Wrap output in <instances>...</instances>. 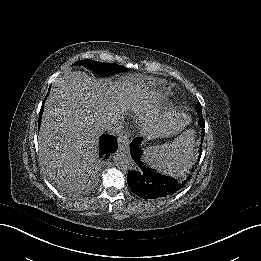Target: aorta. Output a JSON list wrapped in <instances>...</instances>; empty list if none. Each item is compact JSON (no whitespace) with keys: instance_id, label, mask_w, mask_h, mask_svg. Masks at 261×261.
Segmentation results:
<instances>
[{"instance_id":"aorta-1","label":"aorta","mask_w":261,"mask_h":261,"mask_svg":"<svg viewBox=\"0 0 261 261\" xmlns=\"http://www.w3.org/2000/svg\"><path fill=\"white\" fill-rule=\"evenodd\" d=\"M115 163L124 170H134L135 163L128 153L122 151H117L114 155Z\"/></svg>"}]
</instances>
